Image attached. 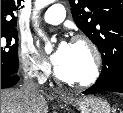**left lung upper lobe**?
Instances as JSON below:
<instances>
[{
  "label": "left lung upper lobe",
  "mask_w": 123,
  "mask_h": 113,
  "mask_svg": "<svg viewBox=\"0 0 123 113\" xmlns=\"http://www.w3.org/2000/svg\"><path fill=\"white\" fill-rule=\"evenodd\" d=\"M77 26L98 47L103 69L98 80L109 84L123 72V0H69Z\"/></svg>",
  "instance_id": "left-lung-upper-lobe-1"
}]
</instances>
